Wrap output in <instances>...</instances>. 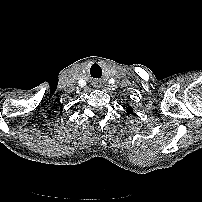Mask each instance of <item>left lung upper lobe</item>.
Listing matches in <instances>:
<instances>
[{"mask_svg": "<svg viewBox=\"0 0 202 202\" xmlns=\"http://www.w3.org/2000/svg\"><path fill=\"white\" fill-rule=\"evenodd\" d=\"M127 109H128V112H129V113H132L133 109H132L131 106H129Z\"/></svg>", "mask_w": 202, "mask_h": 202, "instance_id": "left-lung-upper-lobe-1", "label": "left lung upper lobe"}]
</instances>
